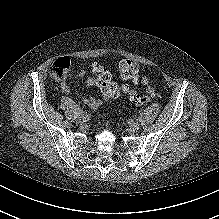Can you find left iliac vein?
Masks as SVG:
<instances>
[{"instance_id": "left-iliac-vein-1", "label": "left iliac vein", "mask_w": 219, "mask_h": 219, "mask_svg": "<svg viewBox=\"0 0 219 219\" xmlns=\"http://www.w3.org/2000/svg\"><path fill=\"white\" fill-rule=\"evenodd\" d=\"M129 127L131 131H136L138 129H140L141 125L138 121H132L129 123Z\"/></svg>"}]
</instances>
